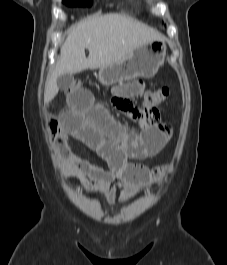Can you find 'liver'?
I'll return each mask as SVG.
<instances>
[{
    "mask_svg": "<svg viewBox=\"0 0 227 265\" xmlns=\"http://www.w3.org/2000/svg\"><path fill=\"white\" fill-rule=\"evenodd\" d=\"M163 39L155 29L119 13L79 22L61 46L60 58L45 84L44 102L49 103L57 95L58 76L109 67L121 62L136 47ZM85 49L89 50L87 58Z\"/></svg>",
    "mask_w": 227,
    "mask_h": 265,
    "instance_id": "obj_1",
    "label": "liver"
}]
</instances>
